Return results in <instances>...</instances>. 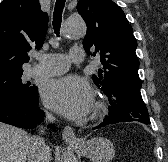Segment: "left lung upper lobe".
<instances>
[{
  "label": "left lung upper lobe",
  "mask_w": 168,
  "mask_h": 162,
  "mask_svg": "<svg viewBox=\"0 0 168 162\" xmlns=\"http://www.w3.org/2000/svg\"><path fill=\"white\" fill-rule=\"evenodd\" d=\"M77 10L87 25L83 47L95 48L103 69L93 75L98 88L108 93L121 87L140 91L137 41L123 10L111 0H80Z\"/></svg>",
  "instance_id": "obj_1"
}]
</instances>
